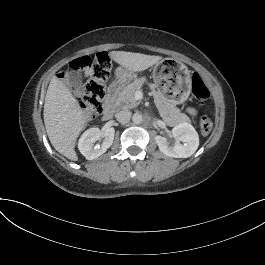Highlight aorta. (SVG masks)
<instances>
[{"label": "aorta", "instance_id": "762f6f07", "mask_svg": "<svg viewBox=\"0 0 265 265\" xmlns=\"http://www.w3.org/2000/svg\"><path fill=\"white\" fill-rule=\"evenodd\" d=\"M132 120L135 124H140V123H142L143 118H142V115L140 113H135L132 117Z\"/></svg>", "mask_w": 265, "mask_h": 265}]
</instances>
